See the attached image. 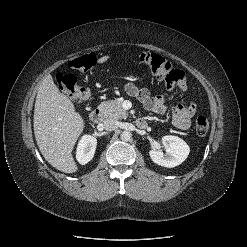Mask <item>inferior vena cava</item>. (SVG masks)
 <instances>
[{"instance_id":"602c4592","label":"inferior vena cava","mask_w":247,"mask_h":247,"mask_svg":"<svg viewBox=\"0 0 247 247\" xmlns=\"http://www.w3.org/2000/svg\"><path fill=\"white\" fill-rule=\"evenodd\" d=\"M103 127L106 131H113L117 128V121L113 118H107L103 121Z\"/></svg>"}]
</instances>
